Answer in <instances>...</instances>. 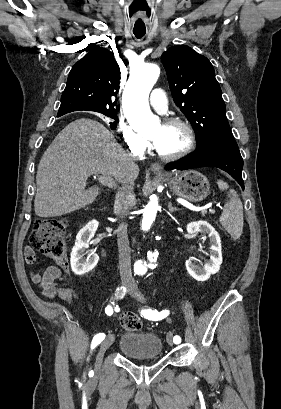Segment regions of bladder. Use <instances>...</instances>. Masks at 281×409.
I'll return each mask as SVG.
<instances>
[{
  "mask_svg": "<svg viewBox=\"0 0 281 409\" xmlns=\"http://www.w3.org/2000/svg\"><path fill=\"white\" fill-rule=\"evenodd\" d=\"M117 348L121 354L133 361L161 359L164 355L162 337L151 331L138 332L125 329L118 337Z\"/></svg>",
  "mask_w": 281,
  "mask_h": 409,
  "instance_id": "31cf9c89",
  "label": "bladder"
}]
</instances>
